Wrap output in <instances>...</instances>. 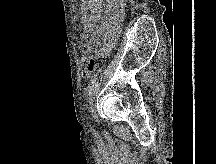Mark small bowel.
I'll return each instance as SVG.
<instances>
[{
    "instance_id": "small-bowel-1",
    "label": "small bowel",
    "mask_w": 216,
    "mask_h": 164,
    "mask_svg": "<svg viewBox=\"0 0 216 164\" xmlns=\"http://www.w3.org/2000/svg\"><path fill=\"white\" fill-rule=\"evenodd\" d=\"M125 10V0H82L80 14L84 31L81 46L84 54L93 53L94 57H99L113 47L120 33Z\"/></svg>"
}]
</instances>
